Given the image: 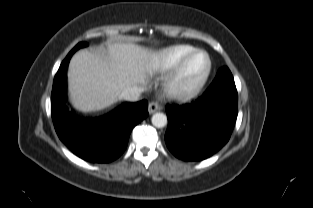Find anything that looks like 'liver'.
<instances>
[{
  "label": "liver",
  "instance_id": "1",
  "mask_svg": "<svg viewBox=\"0 0 313 208\" xmlns=\"http://www.w3.org/2000/svg\"><path fill=\"white\" fill-rule=\"evenodd\" d=\"M160 54L133 43H109L107 52L81 50L68 70L70 99L81 111L100 110L118 100L128 86L145 83Z\"/></svg>",
  "mask_w": 313,
  "mask_h": 208
}]
</instances>
